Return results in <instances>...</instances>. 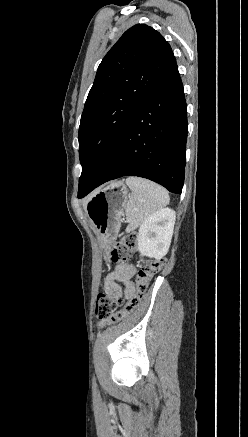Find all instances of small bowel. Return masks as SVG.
I'll return each instance as SVG.
<instances>
[{
    "mask_svg": "<svg viewBox=\"0 0 248 437\" xmlns=\"http://www.w3.org/2000/svg\"><path fill=\"white\" fill-rule=\"evenodd\" d=\"M134 273V268L128 265H119L113 272H111L104 281L105 291L113 296H120L122 290L118 282H124L126 284L125 294L127 297H131L134 293V285L129 282L130 277Z\"/></svg>",
    "mask_w": 248,
    "mask_h": 437,
    "instance_id": "small-bowel-1",
    "label": "small bowel"
}]
</instances>
